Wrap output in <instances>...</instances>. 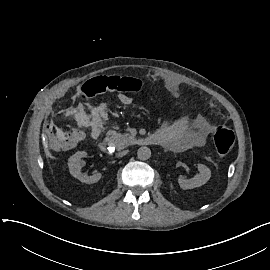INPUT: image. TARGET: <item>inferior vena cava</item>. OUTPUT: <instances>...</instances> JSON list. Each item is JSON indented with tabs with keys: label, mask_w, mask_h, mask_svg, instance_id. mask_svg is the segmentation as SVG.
Listing matches in <instances>:
<instances>
[{
	"label": "inferior vena cava",
	"mask_w": 270,
	"mask_h": 270,
	"mask_svg": "<svg viewBox=\"0 0 270 270\" xmlns=\"http://www.w3.org/2000/svg\"><path fill=\"white\" fill-rule=\"evenodd\" d=\"M128 152H129L128 150H124V151H122V152H119V153L116 154V157H123V156H125Z\"/></svg>",
	"instance_id": "602c4592"
}]
</instances>
